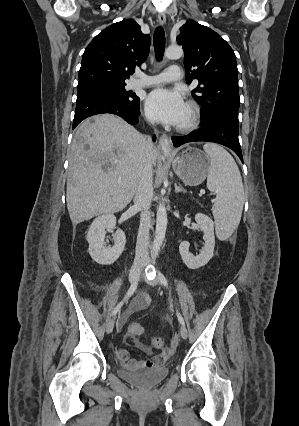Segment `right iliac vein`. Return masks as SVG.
Returning a JSON list of instances; mask_svg holds the SVG:
<instances>
[{
	"instance_id": "right-iliac-vein-1",
	"label": "right iliac vein",
	"mask_w": 299,
	"mask_h": 426,
	"mask_svg": "<svg viewBox=\"0 0 299 426\" xmlns=\"http://www.w3.org/2000/svg\"><path fill=\"white\" fill-rule=\"evenodd\" d=\"M142 266H135L131 269L129 273V280L131 283H135L139 280L141 274ZM115 319L111 318L106 325V332L109 334L113 331Z\"/></svg>"
}]
</instances>
